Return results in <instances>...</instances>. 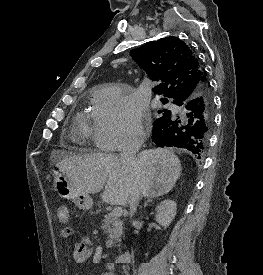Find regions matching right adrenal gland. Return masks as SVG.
Listing matches in <instances>:
<instances>
[{
    "label": "right adrenal gland",
    "instance_id": "right-adrenal-gland-1",
    "mask_svg": "<svg viewBox=\"0 0 263 275\" xmlns=\"http://www.w3.org/2000/svg\"><path fill=\"white\" fill-rule=\"evenodd\" d=\"M153 201V199H148V200H146V202H145V204H144V207H146L147 205H148V203L149 202H152Z\"/></svg>",
    "mask_w": 263,
    "mask_h": 275
}]
</instances>
